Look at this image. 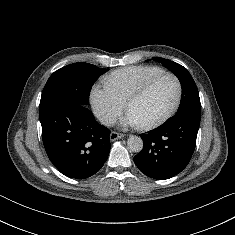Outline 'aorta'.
Listing matches in <instances>:
<instances>
[{
    "label": "aorta",
    "mask_w": 235,
    "mask_h": 235,
    "mask_svg": "<svg viewBox=\"0 0 235 235\" xmlns=\"http://www.w3.org/2000/svg\"><path fill=\"white\" fill-rule=\"evenodd\" d=\"M130 151L139 153L143 149V140L139 136L132 135L127 140Z\"/></svg>",
    "instance_id": "obj_1"
}]
</instances>
